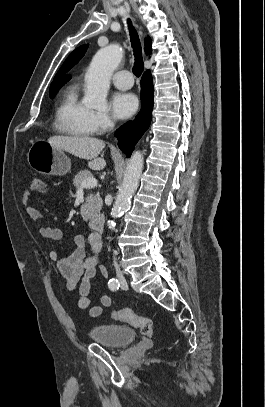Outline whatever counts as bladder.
<instances>
[{"instance_id": "bladder-1", "label": "bladder", "mask_w": 265, "mask_h": 407, "mask_svg": "<svg viewBox=\"0 0 265 407\" xmlns=\"http://www.w3.org/2000/svg\"><path fill=\"white\" fill-rule=\"evenodd\" d=\"M89 335L94 342L108 347L130 345L136 339V332L132 328L115 324L91 327Z\"/></svg>"}]
</instances>
